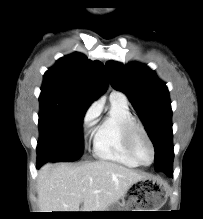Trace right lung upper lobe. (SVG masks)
Instances as JSON below:
<instances>
[{
	"instance_id": "obj_1",
	"label": "right lung upper lobe",
	"mask_w": 203,
	"mask_h": 219,
	"mask_svg": "<svg viewBox=\"0 0 203 219\" xmlns=\"http://www.w3.org/2000/svg\"><path fill=\"white\" fill-rule=\"evenodd\" d=\"M107 82L106 70L100 61H91L75 52L60 58L46 71L41 91L64 94L91 104L105 92Z\"/></svg>"
}]
</instances>
